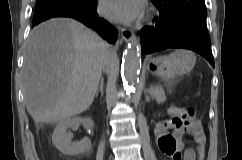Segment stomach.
<instances>
[{"label":"stomach","mask_w":242,"mask_h":160,"mask_svg":"<svg viewBox=\"0 0 242 160\" xmlns=\"http://www.w3.org/2000/svg\"><path fill=\"white\" fill-rule=\"evenodd\" d=\"M195 55L193 52L178 49L168 56H159L148 61L149 71L162 78L169 80L176 74L188 73L195 65Z\"/></svg>","instance_id":"1"}]
</instances>
